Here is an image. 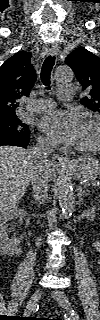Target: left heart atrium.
Instances as JSON below:
<instances>
[{
	"label": "left heart atrium",
	"instance_id": "39dd6f15",
	"mask_svg": "<svg viewBox=\"0 0 100 320\" xmlns=\"http://www.w3.org/2000/svg\"><path fill=\"white\" fill-rule=\"evenodd\" d=\"M38 125L54 143L73 145L79 138L81 120L73 112L52 111L45 114Z\"/></svg>",
	"mask_w": 100,
	"mask_h": 320
}]
</instances>
